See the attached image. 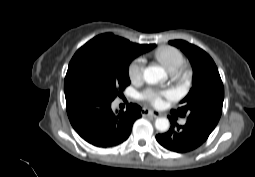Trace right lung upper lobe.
<instances>
[{
    "label": "right lung upper lobe",
    "instance_id": "cb5924a9",
    "mask_svg": "<svg viewBox=\"0 0 255 177\" xmlns=\"http://www.w3.org/2000/svg\"><path fill=\"white\" fill-rule=\"evenodd\" d=\"M93 40L100 42L101 44H103L104 46H106L110 49L123 51V52H133L138 47H150L153 45V44L140 45V44L132 43L129 40H126V39L118 37V36H114L111 33H106V34L96 36L95 38H93ZM152 48H149L146 51H148ZM67 95H69V94H67ZM65 96H66V94H65Z\"/></svg>",
    "mask_w": 255,
    "mask_h": 177
}]
</instances>
